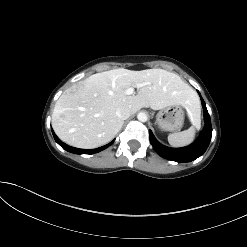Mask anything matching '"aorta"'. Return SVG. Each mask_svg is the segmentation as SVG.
Returning a JSON list of instances; mask_svg holds the SVG:
<instances>
[{
    "mask_svg": "<svg viewBox=\"0 0 247 247\" xmlns=\"http://www.w3.org/2000/svg\"><path fill=\"white\" fill-rule=\"evenodd\" d=\"M137 118L141 122H146L148 119V116L145 112H140V113H138Z\"/></svg>",
    "mask_w": 247,
    "mask_h": 247,
    "instance_id": "aorta-1",
    "label": "aorta"
}]
</instances>
